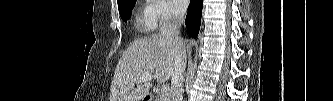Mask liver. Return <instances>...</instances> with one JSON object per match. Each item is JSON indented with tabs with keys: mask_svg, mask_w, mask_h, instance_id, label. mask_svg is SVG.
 <instances>
[{
	"mask_svg": "<svg viewBox=\"0 0 333 101\" xmlns=\"http://www.w3.org/2000/svg\"><path fill=\"white\" fill-rule=\"evenodd\" d=\"M173 70V53L160 33L135 40L119 59L110 88V101H142L152 84L149 80L138 83L140 78L155 72L157 81L164 82L172 77Z\"/></svg>",
	"mask_w": 333,
	"mask_h": 101,
	"instance_id": "6515ba94",
	"label": "liver"
}]
</instances>
